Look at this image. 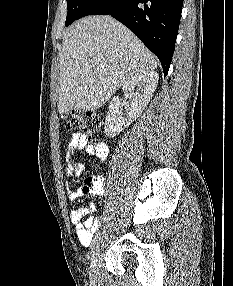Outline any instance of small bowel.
I'll list each match as a JSON object with an SVG mask.
<instances>
[{
	"instance_id": "c3829d8e",
	"label": "small bowel",
	"mask_w": 233,
	"mask_h": 286,
	"mask_svg": "<svg viewBox=\"0 0 233 286\" xmlns=\"http://www.w3.org/2000/svg\"><path fill=\"white\" fill-rule=\"evenodd\" d=\"M76 150H85L88 155L96 156L100 161L106 160L109 154V150L104 143L90 144L85 134L80 132L74 133L65 150L67 177L80 176L84 170L83 163L73 161V155ZM66 189L68 198L71 201H76L83 194L87 193L83 190V187L73 188L69 183L66 184ZM103 192L104 188L92 194L102 195ZM95 209L96 205L94 203H85L70 213V220L76 227L77 238L83 246L90 245L93 235L101 223L99 216L90 215ZM85 216L87 217L82 221Z\"/></svg>"
}]
</instances>
